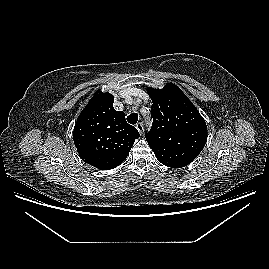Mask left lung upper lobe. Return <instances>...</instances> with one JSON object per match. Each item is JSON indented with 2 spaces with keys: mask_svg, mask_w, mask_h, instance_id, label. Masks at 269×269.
Instances as JSON below:
<instances>
[{
  "mask_svg": "<svg viewBox=\"0 0 269 269\" xmlns=\"http://www.w3.org/2000/svg\"><path fill=\"white\" fill-rule=\"evenodd\" d=\"M152 99V129L146 140L157 159L171 168L191 163L207 141V126L197 108L171 83L163 89H148Z\"/></svg>",
  "mask_w": 269,
  "mask_h": 269,
  "instance_id": "obj_1",
  "label": "left lung upper lobe"
}]
</instances>
